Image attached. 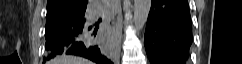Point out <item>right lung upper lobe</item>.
Segmentation results:
<instances>
[{"mask_svg": "<svg viewBox=\"0 0 242 64\" xmlns=\"http://www.w3.org/2000/svg\"><path fill=\"white\" fill-rule=\"evenodd\" d=\"M88 0H48L47 13L73 11L85 7Z\"/></svg>", "mask_w": 242, "mask_h": 64, "instance_id": "cb5924a9", "label": "right lung upper lobe"}]
</instances>
